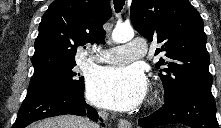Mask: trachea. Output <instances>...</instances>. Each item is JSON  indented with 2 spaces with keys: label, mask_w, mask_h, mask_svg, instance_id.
<instances>
[{
  "label": "trachea",
  "mask_w": 221,
  "mask_h": 128,
  "mask_svg": "<svg viewBox=\"0 0 221 128\" xmlns=\"http://www.w3.org/2000/svg\"><path fill=\"white\" fill-rule=\"evenodd\" d=\"M125 4V0H114V8L116 12H120Z\"/></svg>",
  "instance_id": "1"
}]
</instances>
